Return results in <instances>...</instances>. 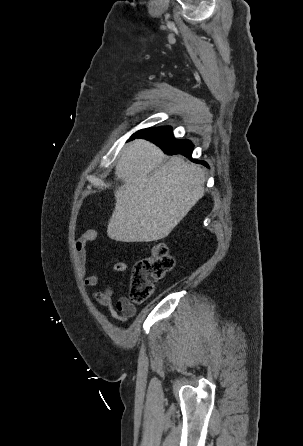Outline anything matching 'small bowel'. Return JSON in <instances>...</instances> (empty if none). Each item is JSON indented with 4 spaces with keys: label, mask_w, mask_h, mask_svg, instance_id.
<instances>
[{
    "label": "small bowel",
    "mask_w": 303,
    "mask_h": 446,
    "mask_svg": "<svg viewBox=\"0 0 303 446\" xmlns=\"http://www.w3.org/2000/svg\"><path fill=\"white\" fill-rule=\"evenodd\" d=\"M98 238V233L94 229H87L80 234L74 242V251L78 275L82 283L87 287H94L98 284L99 277L96 273H87V245ZM114 270L117 273L125 274L127 265L124 262H116ZM91 297L101 306L108 309L112 318L121 324H124L129 318L136 314V307L125 297H120L114 304V285L109 283L101 291L91 293Z\"/></svg>",
    "instance_id": "small-bowel-1"
}]
</instances>
